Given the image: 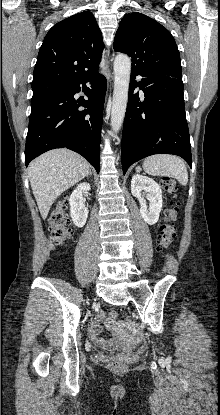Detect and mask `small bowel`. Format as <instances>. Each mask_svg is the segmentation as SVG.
I'll use <instances>...</instances> for the list:
<instances>
[{
    "mask_svg": "<svg viewBox=\"0 0 220 415\" xmlns=\"http://www.w3.org/2000/svg\"><path fill=\"white\" fill-rule=\"evenodd\" d=\"M108 327L109 325L105 322L104 315L100 314L99 320L93 321L89 328V333L93 342L104 349H109L111 344V340L103 336Z\"/></svg>",
    "mask_w": 220,
    "mask_h": 415,
    "instance_id": "1",
    "label": "small bowel"
}]
</instances>
